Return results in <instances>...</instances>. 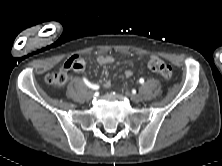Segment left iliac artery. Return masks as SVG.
Here are the masks:
<instances>
[{
  "label": "left iliac artery",
  "instance_id": "left-iliac-artery-1",
  "mask_svg": "<svg viewBox=\"0 0 222 166\" xmlns=\"http://www.w3.org/2000/svg\"><path fill=\"white\" fill-rule=\"evenodd\" d=\"M139 82H140L141 84H143V83H144V79H143V78H140Z\"/></svg>",
  "mask_w": 222,
  "mask_h": 166
}]
</instances>
